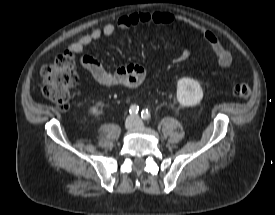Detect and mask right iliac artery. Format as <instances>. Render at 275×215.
Returning <instances> with one entry per match:
<instances>
[{"mask_svg":"<svg viewBox=\"0 0 275 215\" xmlns=\"http://www.w3.org/2000/svg\"><path fill=\"white\" fill-rule=\"evenodd\" d=\"M139 111V107L137 105H132L129 109V113L132 115L137 114Z\"/></svg>","mask_w":275,"mask_h":215,"instance_id":"82829eb1","label":"right iliac artery"}]
</instances>
